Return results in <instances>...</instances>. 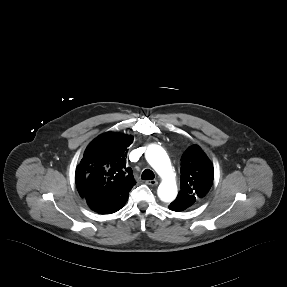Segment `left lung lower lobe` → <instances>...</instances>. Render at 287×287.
I'll use <instances>...</instances> for the list:
<instances>
[{
	"mask_svg": "<svg viewBox=\"0 0 287 287\" xmlns=\"http://www.w3.org/2000/svg\"><path fill=\"white\" fill-rule=\"evenodd\" d=\"M169 208L171 209V210H174L173 208H171L170 206H169ZM174 211H176V210H174Z\"/></svg>",
	"mask_w": 287,
	"mask_h": 287,
	"instance_id": "0a47b994",
	"label": "left lung lower lobe"
}]
</instances>
